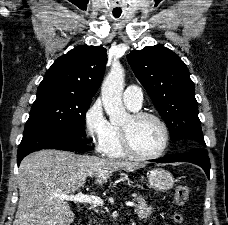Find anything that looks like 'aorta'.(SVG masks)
Returning <instances> with one entry per match:
<instances>
[{
    "label": "aorta",
    "instance_id": "1",
    "mask_svg": "<svg viewBox=\"0 0 228 225\" xmlns=\"http://www.w3.org/2000/svg\"><path fill=\"white\" fill-rule=\"evenodd\" d=\"M125 72L119 62H112L101 88L103 106L110 119L111 125H125L129 115L122 102Z\"/></svg>",
    "mask_w": 228,
    "mask_h": 225
}]
</instances>
